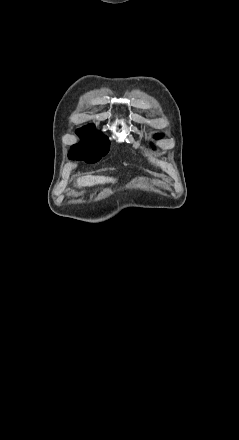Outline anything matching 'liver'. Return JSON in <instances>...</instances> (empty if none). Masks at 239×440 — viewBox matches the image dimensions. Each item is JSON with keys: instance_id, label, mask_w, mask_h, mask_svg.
Segmentation results:
<instances>
[{"instance_id": "1", "label": "liver", "mask_w": 239, "mask_h": 440, "mask_svg": "<svg viewBox=\"0 0 239 440\" xmlns=\"http://www.w3.org/2000/svg\"><path fill=\"white\" fill-rule=\"evenodd\" d=\"M106 182H112L115 184L114 178H105V176H82L78 178L77 186L79 188H85V186H95V184H106Z\"/></svg>"}]
</instances>
